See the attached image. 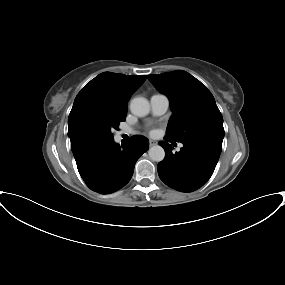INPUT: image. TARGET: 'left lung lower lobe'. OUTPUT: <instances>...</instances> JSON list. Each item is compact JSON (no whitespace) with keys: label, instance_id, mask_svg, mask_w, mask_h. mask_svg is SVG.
Wrapping results in <instances>:
<instances>
[{"label":"left lung lower lobe","instance_id":"obj_1","mask_svg":"<svg viewBox=\"0 0 285 285\" xmlns=\"http://www.w3.org/2000/svg\"><path fill=\"white\" fill-rule=\"evenodd\" d=\"M159 144L166 152L165 158L158 163L159 177L181 192L195 191L210 179L222 150V145L216 142L197 141L183 143L180 151L173 154L169 143L161 141Z\"/></svg>","mask_w":285,"mask_h":285}]
</instances>
